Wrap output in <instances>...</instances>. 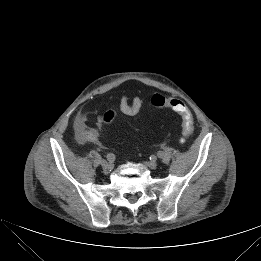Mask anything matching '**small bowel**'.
I'll use <instances>...</instances> for the list:
<instances>
[{"label": "small bowel", "mask_w": 261, "mask_h": 261, "mask_svg": "<svg viewBox=\"0 0 261 261\" xmlns=\"http://www.w3.org/2000/svg\"><path fill=\"white\" fill-rule=\"evenodd\" d=\"M142 103L143 100L139 96L129 99L126 95H123L120 100L119 108L123 114L135 116L139 113ZM103 123L102 116H98L96 128H89L87 116L84 113H79L74 121V131L77 141L79 143L92 142L100 144Z\"/></svg>", "instance_id": "c3829d8e"}]
</instances>
